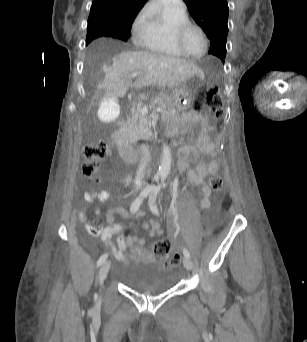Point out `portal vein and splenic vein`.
<instances>
[{"instance_id":"18ae733b","label":"portal vein and splenic vein","mask_w":307,"mask_h":342,"mask_svg":"<svg viewBox=\"0 0 307 342\" xmlns=\"http://www.w3.org/2000/svg\"><path fill=\"white\" fill-rule=\"evenodd\" d=\"M136 76H141V72L138 74H130L129 78H136ZM135 107L136 109H140L142 116H145L146 112L149 111V106L145 105L144 102H136ZM155 112H162V108H156Z\"/></svg>"}]
</instances>
